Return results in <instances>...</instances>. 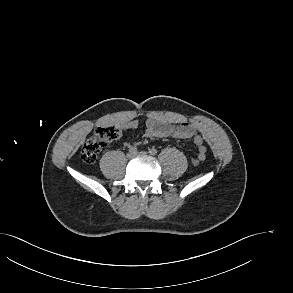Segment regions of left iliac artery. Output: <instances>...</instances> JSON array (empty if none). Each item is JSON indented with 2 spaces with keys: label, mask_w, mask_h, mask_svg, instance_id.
Here are the masks:
<instances>
[{
  "label": "left iliac artery",
  "mask_w": 293,
  "mask_h": 293,
  "mask_svg": "<svg viewBox=\"0 0 293 293\" xmlns=\"http://www.w3.org/2000/svg\"><path fill=\"white\" fill-rule=\"evenodd\" d=\"M149 153H150V155L154 156L157 154V150L155 148H151V149H149Z\"/></svg>",
  "instance_id": "obj_1"
}]
</instances>
